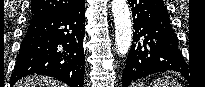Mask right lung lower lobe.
Listing matches in <instances>:
<instances>
[{
  "label": "right lung lower lobe",
  "instance_id": "1",
  "mask_svg": "<svg viewBox=\"0 0 205 87\" xmlns=\"http://www.w3.org/2000/svg\"><path fill=\"white\" fill-rule=\"evenodd\" d=\"M85 1L67 10L30 20L11 75V86L38 74L57 78L70 87H83Z\"/></svg>",
  "mask_w": 205,
  "mask_h": 87
}]
</instances>
